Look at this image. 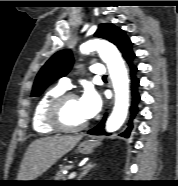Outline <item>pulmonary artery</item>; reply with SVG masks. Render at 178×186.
Wrapping results in <instances>:
<instances>
[{
    "mask_svg": "<svg viewBox=\"0 0 178 186\" xmlns=\"http://www.w3.org/2000/svg\"><path fill=\"white\" fill-rule=\"evenodd\" d=\"M91 73L95 76H102L105 74V68L102 64H93L89 67ZM60 86L64 89H69L71 86V82L69 78H62L60 80Z\"/></svg>",
    "mask_w": 178,
    "mask_h": 186,
    "instance_id": "e3ab8cb5",
    "label": "pulmonary artery"
}]
</instances>
